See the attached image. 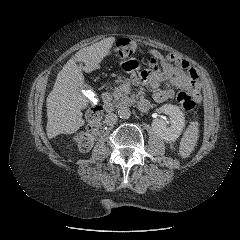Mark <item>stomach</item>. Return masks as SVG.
Masks as SVG:
<instances>
[{
    "label": "stomach",
    "mask_w": 240,
    "mask_h": 240,
    "mask_svg": "<svg viewBox=\"0 0 240 240\" xmlns=\"http://www.w3.org/2000/svg\"><path fill=\"white\" fill-rule=\"evenodd\" d=\"M120 67L124 72L138 71L141 67L140 61L137 58H130L120 62Z\"/></svg>",
    "instance_id": "stomach-1"
}]
</instances>
